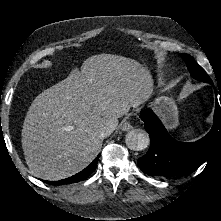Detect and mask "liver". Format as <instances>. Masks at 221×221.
I'll return each instance as SVG.
<instances>
[{
  "label": "liver",
  "mask_w": 221,
  "mask_h": 221,
  "mask_svg": "<svg viewBox=\"0 0 221 221\" xmlns=\"http://www.w3.org/2000/svg\"><path fill=\"white\" fill-rule=\"evenodd\" d=\"M153 92V79L139 62L112 54L89 57L69 76L39 94L22 127L30 173L60 180L85 168L102 148L99 131ZM71 125L72 130L65 128Z\"/></svg>",
  "instance_id": "6515ba94"
}]
</instances>
